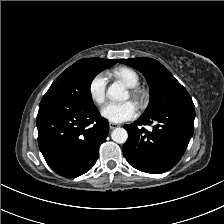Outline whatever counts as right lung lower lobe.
<instances>
[{"label":"right lung lower lobe","instance_id":"1","mask_svg":"<svg viewBox=\"0 0 224 224\" xmlns=\"http://www.w3.org/2000/svg\"><path fill=\"white\" fill-rule=\"evenodd\" d=\"M39 149L57 174L74 178L95 164L109 123L95 106L44 95L36 119Z\"/></svg>","mask_w":224,"mask_h":224}]
</instances>
